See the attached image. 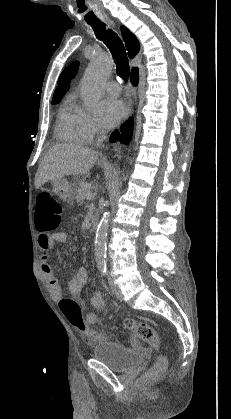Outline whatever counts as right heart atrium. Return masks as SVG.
Returning <instances> with one entry per match:
<instances>
[{
  "mask_svg": "<svg viewBox=\"0 0 231 419\" xmlns=\"http://www.w3.org/2000/svg\"><path fill=\"white\" fill-rule=\"evenodd\" d=\"M103 132L104 128L100 124L99 120L88 116L85 124V133L87 138L90 140L95 136L101 135Z\"/></svg>",
  "mask_w": 231,
  "mask_h": 419,
  "instance_id": "d8ad5b80",
  "label": "right heart atrium"
}]
</instances>
